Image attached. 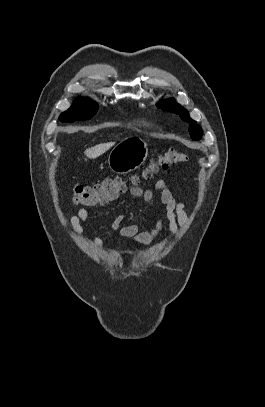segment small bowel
Listing matches in <instances>:
<instances>
[{
	"label": "small bowel",
	"mask_w": 265,
	"mask_h": 407,
	"mask_svg": "<svg viewBox=\"0 0 265 407\" xmlns=\"http://www.w3.org/2000/svg\"><path fill=\"white\" fill-rule=\"evenodd\" d=\"M155 188L160 193L161 203L165 209V221L167 222V229L171 235H176L179 231L180 225H186L188 223V216L184 210V204L178 202L171 193L168 184L164 180H158L155 184ZM130 194L135 198H142L145 202H151L154 198V192L150 189L143 190L138 186H134L130 189ZM89 213L85 208H80L76 214L70 217V225L80 237L84 236L83 225L88 222ZM123 215L117 216L114 220L107 224V229L116 231L125 237L133 240L137 244H149L152 243L164 230L165 222L160 219L157 221L155 227L151 230H142L138 224H130L121 226L123 222ZM93 232V243L98 248H105L104 240L98 235V229L91 227Z\"/></svg>",
	"instance_id": "small-bowel-1"
}]
</instances>
